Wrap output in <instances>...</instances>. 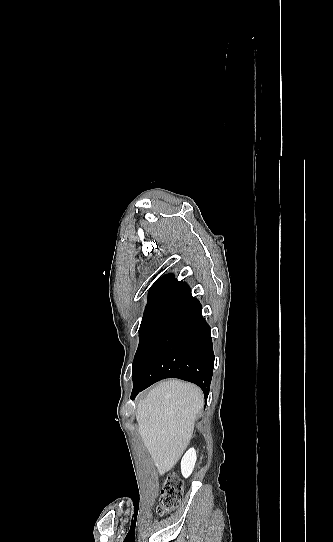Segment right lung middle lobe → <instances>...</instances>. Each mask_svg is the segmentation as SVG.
<instances>
[{
	"label": "right lung middle lobe",
	"instance_id": "obj_1",
	"mask_svg": "<svg viewBox=\"0 0 333 542\" xmlns=\"http://www.w3.org/2000/svg\"><path fill=\"white\" fill-rule=\"evenodd\" d=\"M156 305L157 304H147L146 305L144 315H143V318H142V322H141V325H140V329H139V331H140L139 336L140 337L142 336L144 328H145L146 323H147V320H148L151 312L153 311V309L155 308Z\"/></svg>",
	"mask_w": 333,
	"mask_h": 542
}]
</instances>
